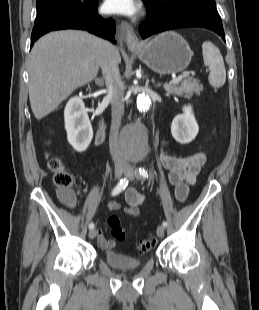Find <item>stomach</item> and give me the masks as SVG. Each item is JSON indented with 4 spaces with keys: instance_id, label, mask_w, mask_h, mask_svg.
Wrapping results in <instances>:
<instances>
[{
    "instance_id": "0dacf381",
    "label": "stomach",
    "mask_w": 259,
    "mask_h": 310,
    "mask_svg": "<svg viewBox=\"0 0 259 310\" xmlns=\"http://www.w3.org/2000/svg\"><path fill=\"white\" fill-rule=\"evenodd\" d=\"M150 69L160 74L184 71L192 58V51L179 34L169 31L156 36L141 47L130 48Z\"/></svg>"
}]
</instances>
